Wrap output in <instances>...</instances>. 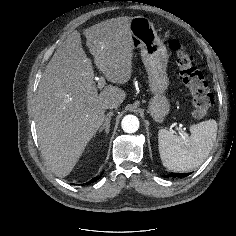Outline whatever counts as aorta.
<instances>
[{
    "label": "aorta",
    "mask_w": 236,
    "mask_h": 236,
    "mask_svg": "<svg viewBox=\"0 0 236 236\" xmlns=\"http://www.w3.org/2000/svg\"><path fill=\"white\" fill-rule=\"evenodd\" d=\"M122 129L126 133H134L138 130L139 128V120L136 116L134 115H126L122 119Z\"/></svg>",
    "instance_id": "762f6f07"
}]
</instances>
